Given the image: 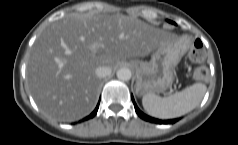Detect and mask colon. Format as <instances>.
<instances>
[{
  "mask_svg": "<svg viewBox=\"0 0 238 145\" xmlns=\"http://www.w3.org/2000/svg\"><path fill=\"white\" fill-rule=\"evenodd\" d=\"M191 58L194 62L199 64H202L205 61L206 52L204 45L200 39H196L193 43ZM194 77L198 81H204L208 77V70L205 67L201 66L195 70Z\"/></svg>",
  "mask_w": 238,
  "mask_h": 145,
  "instance_id": "colon-1",
  "label": "colon"
}]
</instances>
